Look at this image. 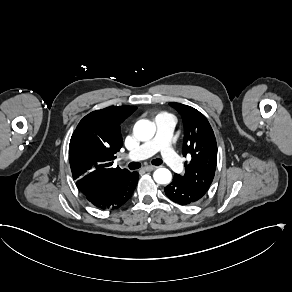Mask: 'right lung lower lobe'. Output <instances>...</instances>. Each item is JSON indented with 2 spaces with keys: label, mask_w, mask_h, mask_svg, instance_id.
Masks as SVG:
<instances>
[{
  "label": "right lung lower lobe",
  "mask_w": 292,
  "mask_h": 292,
  "mask_svg": "<svg viewBox=\"0 0 292 292\" xmlns=\"http://www.w3.org/2000/svg\"><path fill=\"white\" fill-rule=\"evenodd\" d=\"M139 173L131 172L122 179L114 183L100 195H84L86 199L94 206L100 209H118L124 205L132 196L137 182Z\"/></svg>",
  "instance_id": "right-lung-lower-lobe-1"
}]
</instances>
